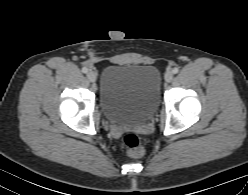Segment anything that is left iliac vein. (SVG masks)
<instances>
[{
  "instance_id": "1",
  "label": "left iliac vein",
  "mask_w": 248,
  "mask_h": 195,
  "mask_svg": "<svg viewBox=\"0 0 248 195\" xmlns=\"http://www.w3.org/2000/svg\"><path fill=\"white\" fill-rule=\"evenodd\" d=\"M173 80V72L171 71H168L166 74H165V81L166 82H171Z\"/></svg>"
}]
</instances>
